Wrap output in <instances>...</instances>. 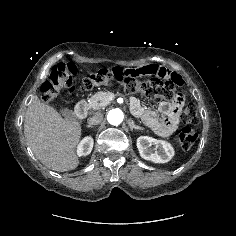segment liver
I'll return each instance as SVG.
<instances>
[{
  "mask_svg": "<svg viewBox=\"0 0 236 236\" xmlns=\"http://www.w3.org/2000/svg\"><path fill=\"white\" fill-rule=\"evenodd\" d=\"M27 145L46 167L65 172L79 165L75 152L81 138V125L75 119H64L37 96L30 100L24 119Z\"/></svg>",
  "mask_w": 236,
  "mask_h": 236,
  "instance_id": "obj_1",
  "label": "liver"
}]
</instances>
